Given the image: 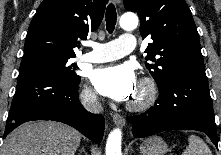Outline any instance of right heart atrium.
Returning a JSON list of instances; mask_svg holds the SVG:
<instances>
[{"label":"right heart atrium","instance_id":"1","mask_svg":"<svg viewBox=\"0 0 221 155\" xmlns=\"http://www.w3.org/2000/svg\"><path fill=\"white\" fill-rule=\"evenodd\" d=\"M81 100L86 105H96L98 103V96L93 89L85 87L81 92Z\"/></svg>","mask_w":221,"mask_h":155}]
</instances>
